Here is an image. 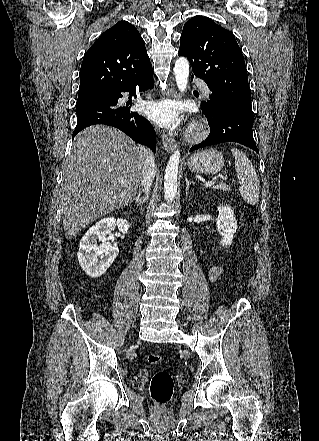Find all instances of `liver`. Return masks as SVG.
I'll use <instances>...</instances> for the list:
<instances>
[{
	"mask_svg": "<svg viewBox=\"0 0 319 441\" xmlns=\"http://www.w3.org/2000/svg\"><path fill=\"white\" fill-rule=\"evenodd\" d=\"M147 150L106 125H93L78 133L64 162L60 190L67 239L74 238L92 221L133 201ZM119 178L124 182H118Z\"/></svg>",
	"mask_w": 319,
	"mask_h": 441,
	"instance_id": "1",
	"label": "liver"
}]
</instances>
